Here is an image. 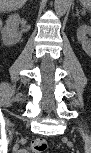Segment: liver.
I'll list each match as a JSON object with an SVG mask.
<instances>
[{
    "label": "liver",
    "mask_w": 91,
    "mask_h": 153,
    "mask_svg": "<svg viewBox=\"0 0 91 153\" xmlns=\"http://www.w3.org/2000/svg\"><path fill=\"white\" fill-rule=\"evenodd\" d=\"M27 0H1L0 6L1 10L13 11L21 8Z\"/></svg>",
    "instance_id": "1"
}]
</instances>
